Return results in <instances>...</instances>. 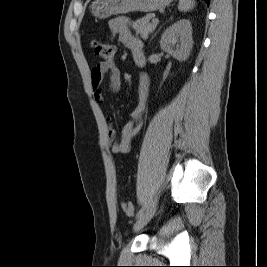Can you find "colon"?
I'll return each mask as SVG.
<instances>
[{
    "instance_id": "1",
    "label": "colon",
    "mask_w": 267,
    "mask_h": 267,
    "mask_svg": "<svg viewBox=\"0 0 267 267\" xmlns=\"http://www.w3.org/2000/svg\"><path fill=\"white\" fill-rule=\"evenodd\" d=\"M91 46L95 54L104 62L110 63L113 61L116 54V47L113 44L95 40L92 41ZM122 209L127 216L132 217L134 215V206L132 203L123 202Z\"/></svg>"
}]
</instances>
